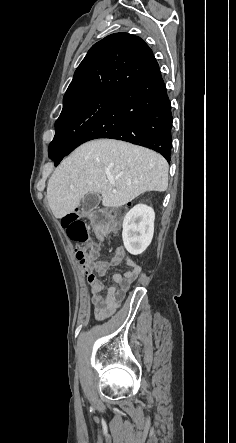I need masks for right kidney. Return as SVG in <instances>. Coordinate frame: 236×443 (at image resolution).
I'll list each match as a JSON object with an SVG mask.
<instances>
[{
	"label": "right kidney",
	"mask_w": 236,
	"mask_h": 443,
	"mask_svg": "<svg viewBox=\"0 0 236 443\" xmlns=\"http://www.w3.org/2000/svg\"><path fill=\"white\" fill-rule=\"evenodd\" d=\"M154 210L145 205L134 206L124 217L122 238L126 250L142 254L150 245L154 234Z\"/></svg>",
	"instance_id": "right-kidney-1"
}]
</instances>
